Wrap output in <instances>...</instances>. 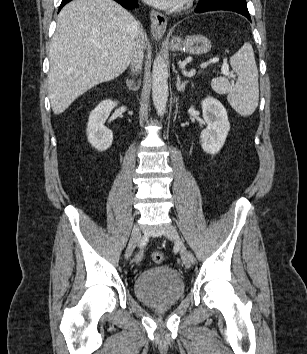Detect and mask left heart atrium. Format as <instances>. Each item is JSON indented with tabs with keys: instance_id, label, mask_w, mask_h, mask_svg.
Instances as JSON below:
<instances>
[{
	"instance_id": "1",
	"label": "left heart atrium",
	"mask_w": 307,
	"mask_h": 354,
	"mask_svg": "<svg viewBox=\"0 0 307 354\" xmlns=\"http://www.w3.org/2000/svg\"><path fill=\"white\" fill-rule=\"evenodd\" d=\"M147 3L162 9L174 8L178 6L182 0H145Z\"/></svg>"
}]
</instances>
